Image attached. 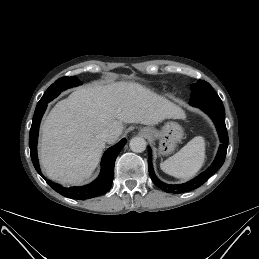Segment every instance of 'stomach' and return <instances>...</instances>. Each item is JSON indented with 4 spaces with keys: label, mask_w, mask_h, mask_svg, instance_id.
<instances>
[{
    "label": "stomach",
    "mask_w": 259,
    "mask_h": 259,
    "mask_svg": "<svg viewBox=\"0 0 259 259\" xmlns=\"http://www.w3.org/2000/svg\"><path fill=\"white\" fill-rule=\"evenodd\" d=\"M150 131L155 139H159V153L168 155L172 153L176 144L183 139L184 131L176 122H167L161 131L145 127L142 132Z\"/></svg>",
    "instance_id": "1"
}]
</instances>
